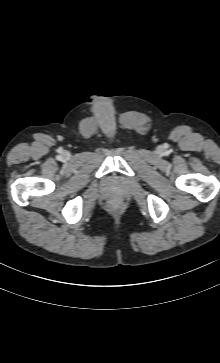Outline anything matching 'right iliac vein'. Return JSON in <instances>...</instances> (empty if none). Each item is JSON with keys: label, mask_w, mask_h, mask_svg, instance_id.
I'll return each mask as SVG.
<instances>
[{"label": "right iliac vein", "mask_w": 220, "mask_h": 363, "mask_svg": "<svg viewBox=\"0 0 220 363\" xmlns=\"http://www.w3.org/2000/svg\"><path fill=\"white\" fill-rule=\"evenodd\" d=\"M64 156H65V157H68V156H69V154L66 152V153H64Z\"/></svg>", "instance_id": "63e3f726"}]
</instances>
